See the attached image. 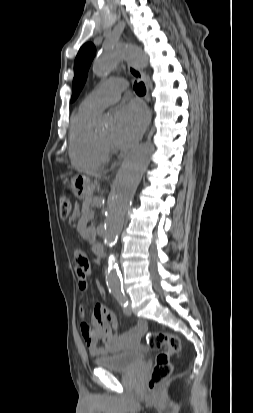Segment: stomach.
<instances>
[{"label": "stomach", "mask_w": 253, "mask_h": 413, "mask_svg": "<svg viewBox=\"0 0 253 413\" xmlns=\"http://www.w3.org/2000/svg\"><path fill=\"white\" fill-rule=\"evenodd\" d=\"M71 188L73 194L79 198H85L90 194L91 182L90 179L85 175H75L71 179Z\"/></svg>", "instance_id": "1"}]
</instances>
